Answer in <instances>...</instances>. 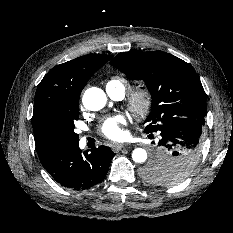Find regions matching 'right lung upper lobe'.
Returning a JSON list of instances; mask_svg holds the SVG:
<instances>
[{
	"label": "right lung upper lobe",
	"mask_w": 233,
	"mask_h": 233,
	"mask_svg": "<svg viewBox=\"0 0 233 233\" xmlns=\"http://www.w3.org/2000/svg\"><path fill=\"white\" fill-rule=\"evenodd\" d=\"M112 57L105 54L81 56L52 68L44 76L34 98L32 126L35 139L39 122L44 117L69 106H78L81 91L90 77Z\"/></svg>",
	"instance_id": "cb5924a9"
}]
</instances>
